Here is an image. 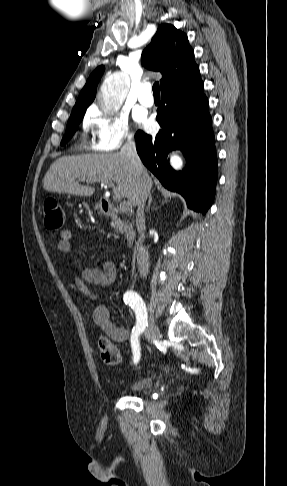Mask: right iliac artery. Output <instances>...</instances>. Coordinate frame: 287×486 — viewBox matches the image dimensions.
I'll return each mask as SVG.
<instances>
[{"label": "right iliac artery", "mask_w": 287, "mask_h": 486, "mask_svg": "<svg viewBox=\"0 0 287 486\" xmlns=\"http://www.w3.org/2000/svg\"><path fill=\"white\" fill-rule=\"evenodd\" d=\"M123 300L125 304H128L136 314V325L132 330L131 346L133 350L134 363H137L140 359V346L138 338L148 326L146 307L139 294L132 290L125 292Z\"/></svg>", "instance_id": "1"}]
</instances>
